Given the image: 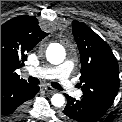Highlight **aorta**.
<instances>
[{
  "instance_id": "obj_1",
  "label": "aorta",
  "mask_w": 122,
  "mask_h": 122,
  "mask_svg": "<svg viewBox=\"0 0 122 122\" xmlns=\"http://www.w3.org/2000/svg\"><path fill=\"white\" fill-rule=\"evenodd\" d=\"M65 50L59 44H52L47 48L46 58L47 60L54 65L60 64L65 59ZM51 103L55 107H62L65 103V98L62 94L56 93L51 97Z\"/></svg>"
}]
</instances>
